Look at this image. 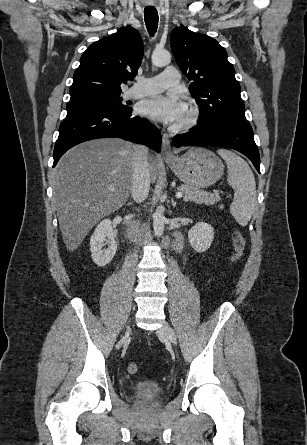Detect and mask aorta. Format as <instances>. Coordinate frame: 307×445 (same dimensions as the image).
Wrapping results in <instances>:
<instances>
[{"label":"aorta","instance_id":"obj_1","mask_svg":"<svg viewBox=\"0 0 307 445\" xmlns=\"http://www.w3.org/2000/svg\"><path fill=\"white\" fill-rule=\"evenodd\" d=\"M151 60L154 66H166L171 62V54L166 48H155L151 54ZM166 218L164 216L163 208H157L153 214V229L154 235L161 237L164 233Z\"/></svg>","mask_w":307,"mask_h":445}]
</instances>
